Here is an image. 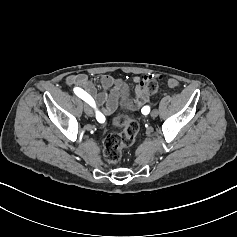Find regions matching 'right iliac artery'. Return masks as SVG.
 Here are the masks:
<instances>
[{"mask_svg":"<svg viewBox=\"0 0 237 237\" xmlns=\"http://www.w3.org/2000/svg\"><path fill=\"white\" fill-rule=\"evenodd\" d=\"M73 90H74V93L78 97H80L85 102H87L90 106L95 108L94 99L88 93H86L83 89H81L79 87H75ZM96 119H97L98 122H104L105 121V117L98 111H96Z\"/></svg>","mask_w":237,"mask_h":237,"instance_id":"82829eb1","label":"right iliac artery"}]
</instances>
